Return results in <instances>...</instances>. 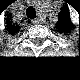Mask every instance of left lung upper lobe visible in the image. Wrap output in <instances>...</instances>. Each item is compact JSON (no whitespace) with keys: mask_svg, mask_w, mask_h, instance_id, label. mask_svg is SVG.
<instances>
[{"mask_svg":"<svg viewBox=\"0 0 80 80\" xmlns=\"http://www.w3.org/2000/svg\"><path fill=\"white\" fill-rule=\"evenodd\" d=\"M70 24L69 12L68 9L65 8L60 12L57 28L61 31H65L68 30Z\"/></svg>","mask_w":80,"mask_h":80,"instance_id":"left-lung-upper-lobe-1","label":"left lung upper lobe"}]
</instances>
